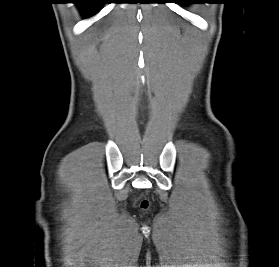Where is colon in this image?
<instances>
[{"mask_svg": "<svg viewBox=\"0 0 279 267\" xmlns=\"http://www.w3.org/2000/svg\"><path fill=\"white\" fill-rule=\"evenodd\" d=\"M141 206L143 208H146L148 206V201H146V200L142 201Z\"/></svg>", "mask_w": 279, "mask_h": 267, "instance_id": "5ec220e1", "label": "colon"}]
</instances>
